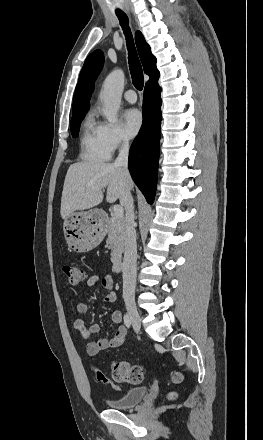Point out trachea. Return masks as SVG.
I'll list each match as a JSON object with an SVG mask.
<instances>
[{
    "label": "trachea",
    "mask_w": 263,
    "mask_h": 440,
    "mask_svg": "<svg viewBox=\"0 0 263 440\" xmlns=\"http://www.w3.org/2000/svg\"><path fill=\"white\" fill-rule=\"evenodd\" d=\"M116 14L126 36L129 68L133 85L136 89L142 90L144 86L143 71L134 45L133 37L130 32L128 17L122 12H117Z\"/></svg>",
    "instance_id": "1"
}]
</instances>
